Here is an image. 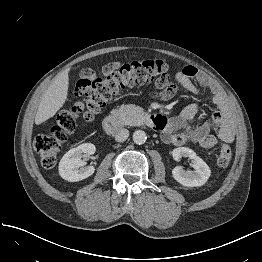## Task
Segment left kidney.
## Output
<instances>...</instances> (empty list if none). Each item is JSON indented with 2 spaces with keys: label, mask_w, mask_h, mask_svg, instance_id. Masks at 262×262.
I'll list each match as a JSON object with an SVG mask.
<instances>
[{
  "label": "left kidney",
  "mask_w": 262,
  "mask_h": 262,
  "mask_svg": "<svg viewBox=\"0 0 262 262\" xmlns=\"http://www.w3.org/2000/svg\"><path fill=\"white\" fill-rule=\"evenodd\" d=\"M174 160L179 161L182 157H189L192 160L193 171H185L181 166L172 170L173 178L183 186L199 187L204 185L210 177L209 166L190 148L179 147L172 151Z\"/></svg>",
  "instance_id": "1"
}]
</instances>
